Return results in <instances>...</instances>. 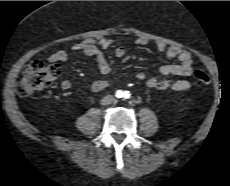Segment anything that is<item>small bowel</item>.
Returning a JSON list of instances; mask_svg holds the SVG:
<instances>
[{"mask_svg":"<svg viewBox=\"0 0 230 186\" xmlns=\"http://www.w3.org/2000/svg\"><path fill=\"white\" fill-rule=\"evenodd\" d=\"M137 45L144 46L147 41L143 38H139L136 41ZM111 40L108 38H93L73 46V50L92 57L97 63V67L101 74L107 75L111 71L109 62L107 61L103 50L109 48ZM156 49L159 53H163L169 59L177 61L176 64H167L160 68V78L150 77L147 78L144 72H137L135 74L136 79L140 81L146 80V85L150 89L157 90H173V91H185L190 88V83L187 80L171 81L170 76H190L193 72V56L190 51L182 50L176 45L166 46L163 42L156 44ZM126 51L123 47H117L115 49V55L118 58L124 57ZM69 59V53L63 50L53 52L47 57V60L52 63L65 62ZM108 79L96 80L92 83L91 89L94 92H99L107 89L110 86ZM72 87V83L69 80H63L61 82V88L63 90H69Z\"/></svg>","mask_w":230,"mask_h":186,"instance_id":"c3829d8e","label":"small bowel"}]
</instances>
